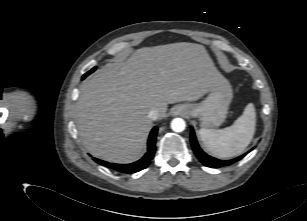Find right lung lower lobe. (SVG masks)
<instances>
[{
	"label": "right lung lower lobe",
	"mask_w": 307,
	"mask_h": 221,
	"mask_svg": "<svg viewBox=\"0 0 307 221\" xmlns=\"http://www.w3.org/2000/svg\"><path fill=\"white\" fill-rule=\"evenodd\" d=\"M86 77V75L83 76V79ZM158 128L154 127L150 133L149 140H148V150L147 153L144 155L142 159H140L137 162L131 163V164H115V163H109L106 161L99 160L97 158H93L94 161H96L98 164H101L103 166H106L110 169H113L115 171H119L122 173H134L138 172L144 168H146L152 158L154 157L155 153V143H156V136H157Z\"/></svg>",
	"instance_id": "right-lung-lower-lobe-1"
}]
</instances>
